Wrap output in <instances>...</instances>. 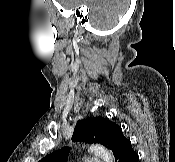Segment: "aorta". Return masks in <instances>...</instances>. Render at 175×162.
I'll return each instance as SVG.
<instances>
[{"label":"aorta","mask_w":175,"mask_h":162,"mask_svg":"<svg viewBox=\"0 0 175 162\" xmlns=\"http://www.w3.org/2000/svg\"><path fill=\"white\" fill-rule=\"evenodd\" d=\"M89 150L91 153L101 158L103 162H114L112 152L101 145H92Z\"/></svg>","instance_id":"aorta-1"}]
</instances>
